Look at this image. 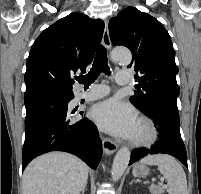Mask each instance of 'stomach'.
Wrapping results in <instances>:
<instances>
[{"instance_id": "obj_1", "label": "stomach", "mask_w": 201, "mask_h": 194, "mask_svg": "<svg viewBox=\"0 0 201 194\" xmlns=\"http://www.w3.org/2000/svg\"><path fill=\"white\" fill-rule=\"evenodd\" d=\"M134 168L136 170V174L139 176L143 177L149 174V169L143 164H138Z\"/></svg>"}]
</instances>
